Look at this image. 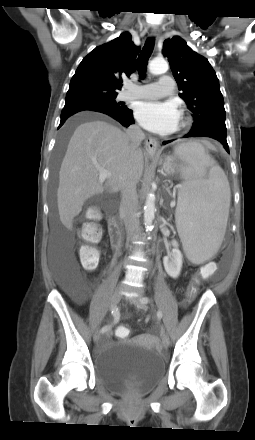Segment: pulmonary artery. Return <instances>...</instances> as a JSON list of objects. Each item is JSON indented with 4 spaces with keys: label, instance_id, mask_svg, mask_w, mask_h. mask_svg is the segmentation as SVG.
<instances>
[{
    "label": "pulmonary artery",
    "instance_id": "obj_1",
    "mask_svg": "<svg viewBox=\"0 0 255 440\" xmlns=\"http://www.w3.org/2000/svg\"><path fill=\"white\" fill-rule=\"evenodd\" d=\"M174 89V80L170 75H161L156 83L144 84L140 87H130L127 91L121 93L122 100L131 99H156L172 93Z\"/></svg>",
    "mask_w": 255,
    "mask_h": 440
}]
</instances>
